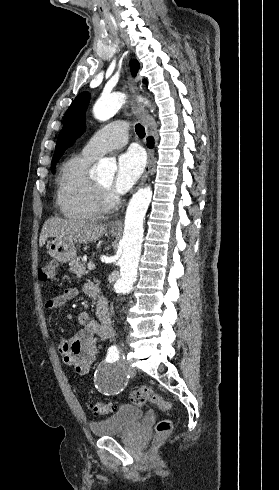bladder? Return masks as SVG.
I'll list each match as a JSON object with an SVG mask.
<instances>
[{
    "mask_svg": "<svg viewBox=\"0 0 279 490\" xmlns=\"http://www.w3.org/2000/svg\"><path fill=\"white\" fill-rule=\"evenodd\" d=\"M146 412L139 406L120 405L119 409L111 416L102 421H93L90 431L95 437L115 436L121 432L134 429Z\"/></svg>",
    "mask_w": 279,
    "mask_h": 490,
    "instance_id": "31cf9c89",
    "label": "bladder"
}]
</instances>
